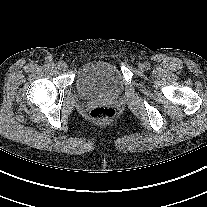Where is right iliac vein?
Wrapping results in <instances>:
<instances>
[{"mask_svg": "<svg viewBox=\"0 0 207 207\" xmlns=\"http://www.w3.org/2000/svg\"><path fill=\"white\" fill-rule=\"evenodd\" d=\"M67 68H68V65L65 62H63L62 65L60 66V69L64 71L67 70Z\"/></svg>", "mask_w": 207, "mask_h": 207, "instance_id": "1", "label": "right iliac vein"}]
</instances>
